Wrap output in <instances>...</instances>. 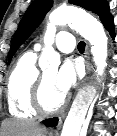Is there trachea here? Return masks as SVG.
Returning a JSON list of instances; mask_svg holds the SVG:
<instances>
[{
  "instance_id": "trachea-1",
  "label": "trachea",
  "mask_w": 117,
  "mask_h": 136,
  "mask_svg": "<svg viewBox=\"0 0 117 136\" xmlns=\"http://www.w3.org/2000/svg\"><path fill=\"white\" fill-rule=\"evenodd\" d=\"M77 48H78V50H79L80 52H84V50H85V42L80 41V42L78 43Z\"/></svg>"
}]
</instances>
